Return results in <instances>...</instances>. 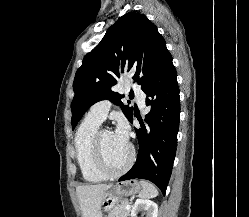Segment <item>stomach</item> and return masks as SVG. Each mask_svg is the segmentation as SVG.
<instances>
[{"label": "stomach", "instance_id": "1", "mask_svg": "<svg viewBox=\"0 0 249 217\" xmlns=\"http://www.w3.org/2000/svg\"><path fill=\"white\" fill-rule=\"evenodd\" d=\"M140 184L136 180H128L113 185L103 196L101 207L110 212L123 198L140 192Z\"/></svg>", "mask_w": 249, "mask_h": 217}]
</instances>
